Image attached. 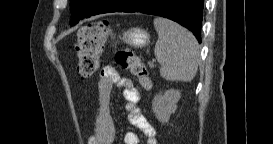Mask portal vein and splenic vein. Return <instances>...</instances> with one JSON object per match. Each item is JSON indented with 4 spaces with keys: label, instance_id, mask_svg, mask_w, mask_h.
Wrapping results in <instances>:
<instances>
[{
    "label": "portal vein and splenic vein",
    "instance_id": "obj_1",
    "mask_svg": "<svg viewBox=\"0 0 273 144\" xmlns=\"http://www.w3.org/2000/svg\"><path fill=\"white\" fill-rule=\"evenodd\" d=\"M150 67H153V63H150Z\"/></svg>",
    "mask_w": 273,
    "mask_h": 144
}]
</instances>
